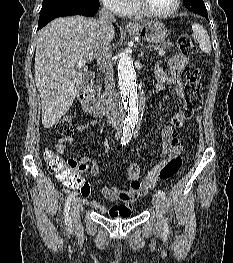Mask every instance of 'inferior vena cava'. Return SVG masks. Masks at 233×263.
Here are the masks:
<instances>
[{
	"mask_svg": "<svg viewBox=\"0 0 233 263\" xmlns=\"http://www.w3.org/2000/svg\"><path fill=\"white\" fill-rule=\"evenodd\" d=\"M115 21L116 19L114 15L107 8H101L99 11L98 25L100 27L102 42L101 48L96 55V59L97 66L105 79L104 100L106 104V117L108 118L109 123L113 126H117L120 123V111L110 66L112 52L107 33L108 30L113 27L112 24Z\"/></svg>",
	"mask_w": 233,
	"mask_h": 263,
	"instance_id": "1",
	"label": "inferior vena cava"
}]
</instances>
